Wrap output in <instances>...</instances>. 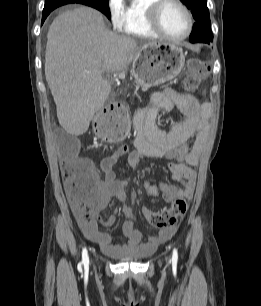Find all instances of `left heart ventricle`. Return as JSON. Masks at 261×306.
<instances>
[{"instance_id": "b2bd125f", "label": "left heart ventricle", "mask_w": 261, "mask_h": 306, "mask_svg": "<svg viewBox=\"0 0 261 306\" xmlns=\"http://www.w3.org/2000/svg\"><path fill=\"white\" fill-rule=\"evenodd\" d=\"M159 21L163 30L172 37H181L187 31V18L176 4L168 3L163 6Z\"/></svg>"}]
</instances>
